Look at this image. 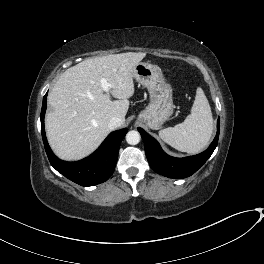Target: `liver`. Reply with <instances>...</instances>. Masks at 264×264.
Masks as SVG:
<instances>
[{"label":"liver","instance_id":"1","mask_svg":"<svg viewBox=\"0 0 264 264\" xmlns=\"http://www.w3.org/2000/svg\"><path fill=\"white\" fill-rule=\"evenodd\" d=\"M145 56L127 52L89 58L60 76L48 95L51 111L45 117L49 145L59 158L75 161L93 152L110 133L112 117L124 124L134 94L133 69ZM101 78L113 85L110 91L104 93Z\"/></svg>","mask_w":264,"mask_h":264}]
</instances>
